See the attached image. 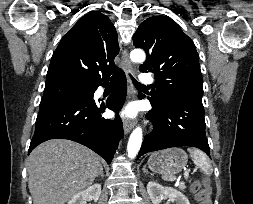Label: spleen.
Segmentation results:
<instances>
[{"label":"spleen","mask_w":253,"mask_h":204,"mask_svg":"<svg viewBox=\"0 0 253 204\" xmlns=\"http://www.w3.org/2000/svg\"><path fill=\"white\" fill-rule=\"evenodd\" d=\"M188 151L196 167L199 168L205 175H212L213 168L207 155L194 148H189ZM162 178L166 181H174L176 179V177L173 175H163Z\"/></svg>","instance_id":"1"}]
</instances>
